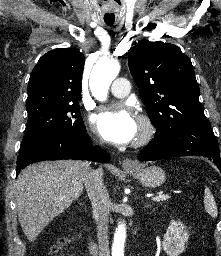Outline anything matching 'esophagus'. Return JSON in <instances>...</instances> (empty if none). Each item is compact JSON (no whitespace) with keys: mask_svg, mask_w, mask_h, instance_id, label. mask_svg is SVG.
Instances as JSON below:
<instances>
[{"mask_svg":"<svg viewBox=\"0 0 221 256\" xmlns=\"http://www.w3.org/2000/svg\"><path fill=\"white\" fill-rule=\"evenodd\" d=\"M122 166L124 168H133L136 167V163L132 159L125 158L122 162Z\"/></svg>","mask_w":221,"mask_h":256,"instance_id":"1","label":"esophagus"}]
</instances>
